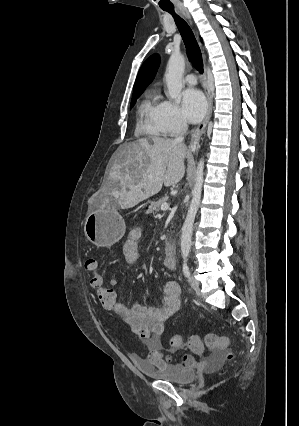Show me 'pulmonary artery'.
<instances>
[{
    "label": "pulmonary artery",
    "mask_w": 299,
    "mask_h": 426,
    "mask_svg": "<svg viewBox=\"0 0 299 426\" xmlns=\"http://www.w3.org/2000/svg\"><path fill=\"white\" fill-rule=\"evenodd\" d=\"M185 82H186L188 85H195V84L197 83L196 76H195L194 74H192V73H190V74L186 75V76H185Z\"/></svg>",
    "instance_id": "e3ab8cb5"
}]
</instances>
